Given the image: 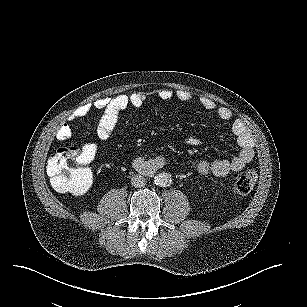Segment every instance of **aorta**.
Listing matches in <instances>:
<instances>
[{
    "label": "aorta",
    "mask_w": 307,
    "mask_h": 307,
    "mask_svg": "<svg viewBox=\"0 0 307 307\" xmlns=\"http://www.w3.org/2000/svg\"><path fill=\"white\" fill-rule=\"evenodd\" d=\"M154 184L160 187H167L170 184V178L166 173H159L154 176Z\"/></svg>",
    "instance_id": "1"
}]
</instances>
